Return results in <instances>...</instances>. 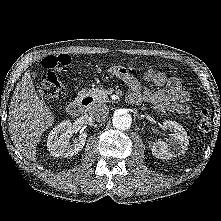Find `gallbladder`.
<instances>
[{"mask_svg": "<svg viewBox=\"0 0 221 221\" xmlns=\"http://www.w3.org/2000/svg\"><path fill=\"white\" fill-rule=\"evenodd\" d=\"M35 75H36V74L33 72V73H32V76L34 77Z\"/></svg>", "mask_w": 221, "mask_h": 221, "instance_id": "gallbladder-1", "label": "gallbladder"}]
</instances>
